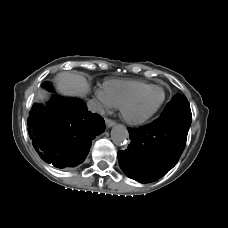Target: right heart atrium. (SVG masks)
I'll list each match as a JSON object with an SVG mask.
<instances>
[{"label":"right heart atrium","mask_w":228,"mask_h":228,"mask_svg":"<svg viewBox=\"0 0 228 228\" xmlns=\"http://www.w3.org/2000/svg\"><path fill=\"white\" fill-rule=\"evenodd\" d=\"M97 98L100 100V102L106 106V107H110V103L108 102V100L105 98L103 92H98L97 93Z\"/></svg>","instance_id":"obj_1"}]
</instances>
